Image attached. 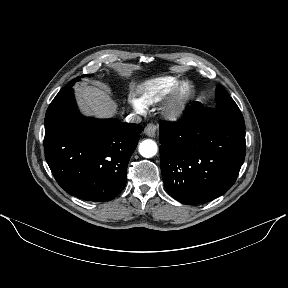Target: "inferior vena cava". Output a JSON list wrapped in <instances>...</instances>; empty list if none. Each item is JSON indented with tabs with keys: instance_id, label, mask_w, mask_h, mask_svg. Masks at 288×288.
Listing matches in <instances>:
<instances>
[{
	"instance_id": "602c4592",
	"label": "inferior vena cava",
	"mask_w": 288,
	"mask_h": 288,
	"mask_svg": "<svg viewBox=\"0 0 288 288\" xmlns=\"http://www.w3.org/2000/svg\"><path fill=\"white\" fill-rule=\"evenodd\" d=\"M125 120L126 122L140 123L142 121V118L139 115L132 113V114H129Z\"/></svg>"
}]
</instances>
